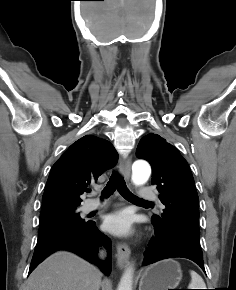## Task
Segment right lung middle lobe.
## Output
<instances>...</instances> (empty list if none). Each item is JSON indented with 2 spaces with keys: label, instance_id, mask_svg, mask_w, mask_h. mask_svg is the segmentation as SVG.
Returning a JSON list of instances; mask_svg holds the SVG:
<instances>
[{
  "label": "right lung middle lobe",
  "instance_id": "right-lung-middle-lobe-1",
  "mask_svg": "<svg viewBox=\"0 0 236 290\" xmlns=\"http://www.w3.org/2000/svg\"><path fill=\"white\" fill-rule=\"evenodd\" d=\"M40 227L38 235H43L48 232L72 228L87 223L77 213V207L61 208L49 211H41Z\"/></svg>",
  "mask_w": 236,
  "mask_h": 290
}]
</instances>
